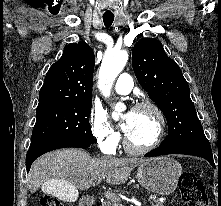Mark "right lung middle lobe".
I'll list each match as a JSON object with an SVG mask.
<instances>
[{
  "label": "right lung middle lobe",
  "mask_w": 221,
  "mask_h": 206,
  "mask_svg": "<svg viewBox=\"0 0 221 206\" xmlns=\"http://www.w3.org/2000/svg\"><path fill=\"white\" fill-rule=\"evenodd\" d=\"M92 103L37 108L30 148L66 142H95L89 125Z\"/></svg>",
  "instance_id": "right-lung-middle-lobe-1"
}]
</instances>
